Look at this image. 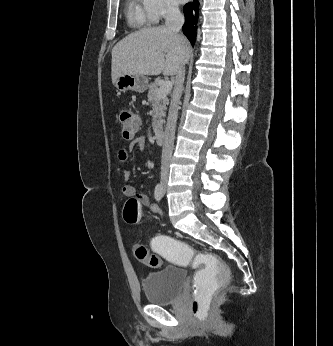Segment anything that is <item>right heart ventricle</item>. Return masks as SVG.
<instances>
[{
	"label": "right heart ventricle",
	"mask_w": 333,
	"mask_h": 346,
	"mask_svg": "<svg viewBox=\"0 0 333 346\" xmlns=\"http://www.w3.org/2000/svg\"><path fill=\"white\" fill-rule=\"evenodd\" d=\"M126 15L129 24L134 27L151 24L143 8L142 0H128Z\"/></svg>",
	"instance_id": "e07e8e85"
}]
</instances>
